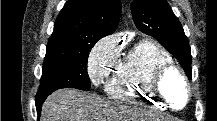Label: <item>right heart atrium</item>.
I'll return each mask as SVG.
<instances>
[{"instance_id":"obj_1","label":"right heart atrium","mask_w":217,"mask_h":121,"mask_svg":"<svg viewBox=\"0 0 217 121\" xmlns=\"http://www.w3.org/2000/svg\"><path fill=\"white\" fill-rule=\"evenodd\" d=\"M119 47L116 38L101 39L92 49L88 59V74L94 85H99L110 73L117 61Z\"/></svg>"}]
</instances>
